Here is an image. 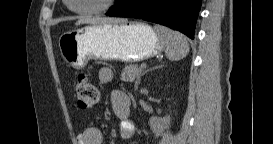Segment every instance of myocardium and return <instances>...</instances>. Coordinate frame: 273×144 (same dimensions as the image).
Segmentation results:
<instances>
[{
  "instance_id": "myocardium-1",
  "label": "myocardium",
  "mask_w": 273,
  "mask_h": 144,
  "mask_svg": "<svg viewBox=\"0 0 273 144\" xmlns=\"http://www.w3.org/2000/svg\"><path fill=\"white\" fill-rule=\"evenodd\" d=\"M68 2H72V0H67ZM116 0H105L101 5L95 8H86V9H76L70 4V9L80 15H87V14H98L109 11L113 5L115 4Z\"/></svg>"
}]
</instances>
